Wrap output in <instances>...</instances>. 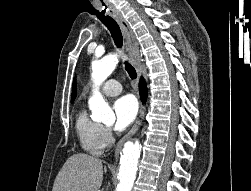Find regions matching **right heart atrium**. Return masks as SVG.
I'll use <instances>...</instances> for the list:
<instances>
[{
  "label": "right heart atrium",
  "mask_w": 251,
  "mask_h": 191,
  "mask_svg": "<svg viewBox=\"0 0 251 191\" xmlns=\"http://www.w3.org/2000/svg\"><path fill=\"white\" fill-rule=\"evenodd\" d=\"M101 139L104 147H109L113 144L114 137L109 126H102Z\"/></svg>",
  "instance_id": "d8ad5b80"
}]
</instances>
